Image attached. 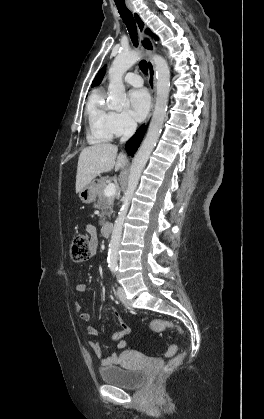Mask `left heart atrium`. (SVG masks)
<instances>
[{"instance_id":"1","label":"left heart atrium","mask_w":264,"mask_h":419,"mask_svg":"<svg viewBox=\"0 0 264 419\" xmlns=\"http://www.w3.org/2000/svg\"><path fill=\"white\" fill-rule=\"evenodd\" d=\"M131 110L134 118L138 121L144 120L150 110V97L146 90H133L129 94Z\"/></svg>"}]
</instances>
